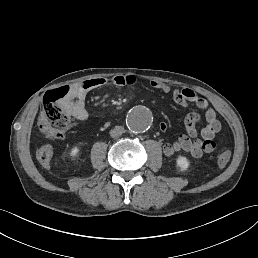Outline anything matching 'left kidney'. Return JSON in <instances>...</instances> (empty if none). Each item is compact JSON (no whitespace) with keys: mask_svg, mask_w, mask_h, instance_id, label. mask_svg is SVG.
Segmentation results:
<instances>
[{"mask_svg":"<svg viewBox=\"0 0 258 258\" xmlns=\"http://www.w3.org/2000/svg\"><path fill=\"white\" fill-rule=\"evenodd\" d=\"M177 162V167L179 168L180 171H185L189 167V161L186 157L179 156L176 160Z\"/></svg>","mask_w":258,"mask_h":258,"instance_id":"1","label":"left kidney"}]
</instances>
